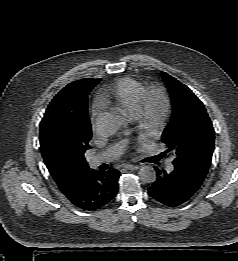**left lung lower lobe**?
Instances as JSON below:
<instances>
[{
    "mask_svg": "<svg viewBox=\"0 0 238 261\" xmlns=\"http://www.w3.org/2000/svg\"><path fill=\"white\" fill-rule=\"evenodd\" d=\"M156 180L148 188V194L158 202L175 207L189 200L204 181L203 176L173 167L165 171L154 167Z\"/></svg>",
    "mask_w": 238,
    "mask_h": 261,
    "instance_id": "obj_1",
    "label": "left lung lower lobe"
}]
</instances>
